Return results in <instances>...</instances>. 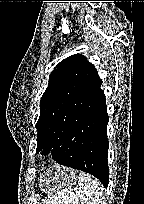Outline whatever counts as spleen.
I'll return each instance as SVG.
<instances>
[{"label":"spleen","mask_w":144,"mask_h":204,"mask_svg":"<svg viewBox=\"0 0 144 204\" xmlns=\"http://www.w3.org/2000/svg\"><path fill=\"white\" fill-rule=\"evenodd\" d=\"M103 190L98 179L80 173L77 187L48 196L44 204H103Z\"/></svg>","instance_id":"spleen-1"}]
</instances>
